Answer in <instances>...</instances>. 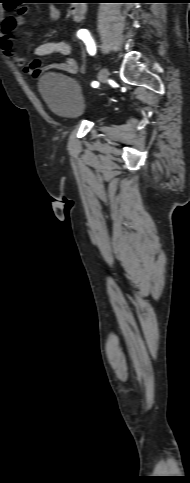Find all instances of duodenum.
Masks as SVG:
<instances>
[{
  "instance_id": "410a0bca",
  "label": "duodenum",
  "mask_w": 190,
  "mask_h": 483,
  "mask_svg": "<svg viewBox=\"0 0 190 483\" xmlns=\"http://www.w3.org/2000/svg\"><path fill=\"white\" fill-rule=\"evenodd\" d=\"M85 1L84 0H75L73 7H72V17L74 21H80L85 12V6H84Z\"/></svg>"
}]
</instances>
